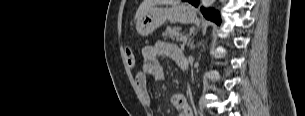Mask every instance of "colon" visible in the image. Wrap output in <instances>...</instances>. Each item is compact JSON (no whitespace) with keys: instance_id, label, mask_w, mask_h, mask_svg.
<instances>
[{"instance_id":"colon-1","label":"colon","mask_w":305,"mask_h":116,"mask_svg":"<svg viewBox=\"0 0 305 116\" xmlns=\"http://www.w3.org/2000/svg\"><path fill=\"white\" fill-rule=\"evenodd\" d=\"M126 60H127V64L129 67L134 66V63H135L134 55L132 53V50L129 47L126 48Z\"/></svg>"}]
</instances>
